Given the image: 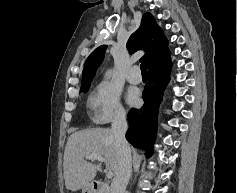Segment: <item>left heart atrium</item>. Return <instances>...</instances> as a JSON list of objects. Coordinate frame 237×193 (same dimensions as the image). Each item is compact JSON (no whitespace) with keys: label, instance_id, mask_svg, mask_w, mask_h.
Wrapping results in <instances>:
<instances>
[{"label":"left heart atrium","instance_id":"left-heart-atrium-1","mask_svg":"<svg viewBox=\"0 0 237 193\" xmlns=\"http://www.w3.org/2000/svg\"><path fill=\"white\" fill-rule=\"evenodd\" d=\"M138 100H139L138 94H136V93H131V94L129 95V102H130L131 104H136V103L138 102Z\"/></svg>","mask_w":237,"mask_h":193}]
</instances>
